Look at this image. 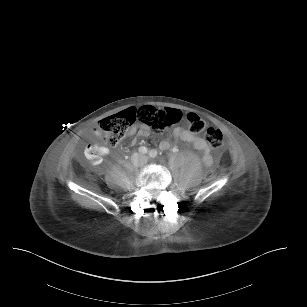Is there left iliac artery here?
Returning <instances> with one entry per match:
<instances>
[{"mask_svg":"<svg viewBox=\"0 0 307 307\" xmlns=\"http://www.w3.org/2000/svg\"><path fill=\"white\" fill-rule=\"evenodd\" d=\"M173 152H177V151H175V150L173 149ZM157 155H158V153H157L156 150H151V151H149V156H150L151 158H156Z\"/></svg>","mask_w":307,"mask_h":307,"instance_id":"44dca946","label":"left iliac artery"}]
</instances>
